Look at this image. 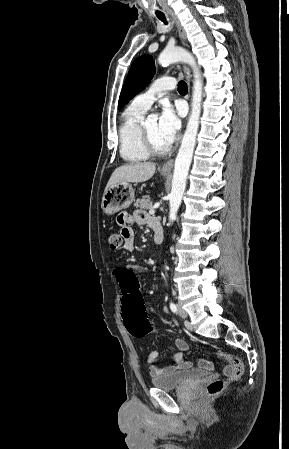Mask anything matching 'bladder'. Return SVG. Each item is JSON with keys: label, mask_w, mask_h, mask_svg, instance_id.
Returning a JSON list of instances; mask_svg holds the SVG:
<instances>
[{"label": "bladder", "mask_w": 289, "mask_h": 449, "mask_svg": "<svg viewBox=\"0 0 289 449\" xmlns=\"http://www.w3.org/2000/svg\"><path fill=\"white\" fill-rule=\"evenodd\" d=\"M206 375V371L199 369L176 370L153 376L151 378V383L154 387L159 389L174 390L185 387Z\"/></svg>", "instance_id": "1"}]
</instances>
